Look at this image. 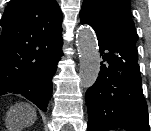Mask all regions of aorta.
Returning a JSON list of instances; mask_svg holds the SVG:
<instances>
[{
  "instance_id": "762f6f07",
  "label": "aorta",
  "mask_w": 151,
  "mask_h": 131,
  "mask_svg": "<svg viewBox=\"0 0 151 131\" xmlns=\"http://www.w3.org/2000/svg\"><path fill=\"white\" fill-rule=\"evenodd\" d=\"M77 49L80 58V84L89 88L95 83L100 71L99 47L92 28L83 26L79 29Z\"/></svg>"
}]
</instances>
